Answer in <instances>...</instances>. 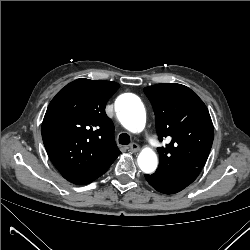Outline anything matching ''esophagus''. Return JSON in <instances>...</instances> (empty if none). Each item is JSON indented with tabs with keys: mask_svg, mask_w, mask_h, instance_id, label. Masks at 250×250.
I'll return each mask as SVG.
<instances>
[{
	"mask_svg": "<svg viewBox=\"0 0 250 250\" xmlns=\"http://www.w3.org/2000/svg\"><path fill=\"white\" fill-rule=\"evenodd\" d=\"M139 146H138V144H136V143H132V144H130V146H129V150L131 151V152H137V151H139Z\"/></svg>",
	"mask_w": 250,
	"mask_h": 250,
	"instance_id": "obj_1",
	"label": "esophagus"
}]
</instances>
